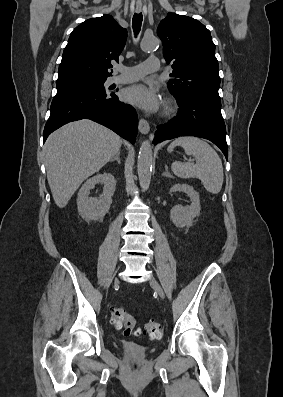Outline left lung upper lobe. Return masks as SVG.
<instances>
[{
  "label": "left lung upper lobe",
  "mask_w": 283,
  "mask_h": 397,
  "mask_svg": "<svg viewBox=\"0 0 283 397\" xmlns=\"http://www.w3.org/2000/svg\"><path fill=\"white\" fill-rule=\"evenodd\" d=\"M157 35L163 55L174 69L168 82L178 101L200 98L221 104L219 66L210 31L198 20L169 12L161 20Z\"/></svg>",
  "instance_id": "left-lung-upper-lobe-1"
}]
</instances>
